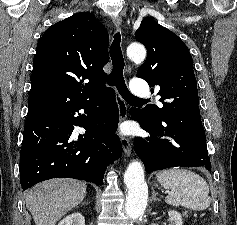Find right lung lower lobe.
Wrapping results in <instances>:
<instances>
[{
  "instance_id": "1",
  "label": "right lung lower lobe",
  "mask_w": 237,
  "mask_h": 225,
  "mask_svg": "<svg viewBox=\"0 0 237 225\" xmlns=\"http://www.w3.org/2000/svg\"><path fill=\"white\" fill-rule=\"evenodd\" d=\"M118 120L112 88L73 104L28 113L20 153L22 189L63 177L102 185L106 167L122 153L114 134ZM74 126L84 128L85 134L77 136Z\"/></svg>"
}]
</instances>
